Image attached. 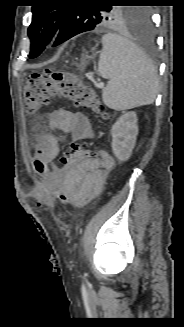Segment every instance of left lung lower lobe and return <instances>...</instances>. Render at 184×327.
<instances>
[{
  "instance_id": "0a47b994",
  "label": "left lung lower lobe",
  "mask_w": 184,
  "mask_h": 327,
  "mask_svg": "<svg viewBox=\"0 0 184 327\" xmlns=\"http://www.w3.org/2000/svg\"><path fill=\"white\" fill-rule=\"evenodd\" d=\"M76 31L61 29L53 46H57L71 37L77 35ZM134 37L137 47L144 54L154 55L156 53V43L154 35V26L151 17L148 16L134 28Z\"/></svg>"
}]
</instances>
